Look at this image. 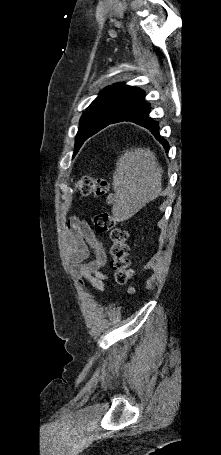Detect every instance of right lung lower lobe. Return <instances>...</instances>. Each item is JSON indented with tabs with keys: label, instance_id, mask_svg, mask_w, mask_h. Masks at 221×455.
<instances>
[{
	"label": "right lung lower lobe",
	"instance_id": "obj_1",
	"mask_svg": "<svg viewBox=\"0 0 221 455\" xmlns=\"http://www.w3.org/2000/svg\"><path fill=\"white\" fill-rule=\"evenodd\" d=\"M150 105L148 103H140L137 106L131 108L130 110L126 111L122 114L118 119H116L113 123L122 122V121H130L134 122L140 126H143L151 131V133L157 138V140L162 143L165 149H167L168 142L160 137L159 135V125L157 122L152 120L149 117L150 112Z\"/></svg>",
	"mask_w": 221,
	"mask_h": 455
}]
</instances>
